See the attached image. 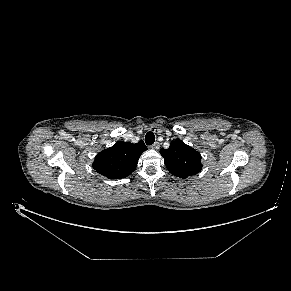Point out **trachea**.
Returning <instances> with one entry per match:
<instances>
[{"mask_svg":"<svg viewBox=\"0 0 291 291\" xmlns=\"http://www.w3.org/2000/svg\"><path fill=\"white\" fill-rule=\"evenodd\" d=\"M155 142V135L153 132H148L145 136V143L147 145H152Z\"/></svg>","mask_w":291,"mask_h":291,"instance_id":"trachea-1","label":"trachea"}]
</instances>
